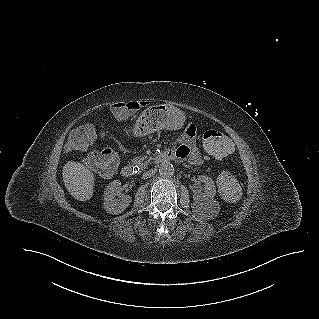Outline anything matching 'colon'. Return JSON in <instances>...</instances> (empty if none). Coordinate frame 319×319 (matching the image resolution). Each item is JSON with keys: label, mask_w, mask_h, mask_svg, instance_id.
<instances>
[{"label": "colon", "mask_w": 319, "mask_h": 319, "mask_svg": "<svg viewBox=\"0 0 319 319\" xmlns=\"http://www.w3.org/2000/svg\"><path fill=\"white\" fill-rule=\"evenodd\" d=\"M94 136L95 132L92 126H82L70 135L66 147L71 151L81 150L91 142ZM203 141L208 156L214 162L224 163L233 156L234 146L227 134L216 130H208L203 135ZM88 163L98 173L111 176L117 168L118 156L113 149L103 148L93 152L88 158ZM219 189L222 196L227 200H234L240 195L239 182L228 173L221 174Z\"/></svg>", "instance_id": "obj_1"}]
</instances>
